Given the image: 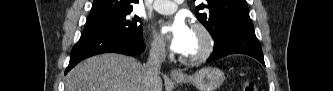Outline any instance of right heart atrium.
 <instances>
[{
  "label": "right heart atrium",
  "mask_w": 333,
  "mask_h": 91,
  "mask_svg": "<svg viewBox=\"0 0 333 91\" xmlns=\"http://www.w3.org/2000/svg\"><path fill=\"white\" fill-rule=\"evenodd\" d=\"M149 52L150 55L156 59H162L166 54L163 44L155 38H152L149 43Z\"/></svg>",
  "instance_id": "right-heart-atrium-1"
}]
</instances>
